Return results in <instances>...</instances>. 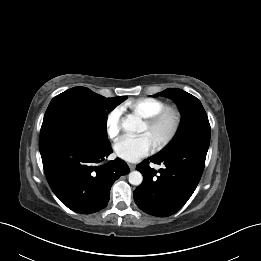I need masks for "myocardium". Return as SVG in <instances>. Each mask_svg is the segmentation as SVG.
<instances>
[{
    "instance_id": "myocardium-1",
    "label": "myocardium",
    "mask_w": 261,
    "mask_h": 261,
    "mask_svg": "<svg viewBox=\"0 0 261 261\" xmlns=\"http://www.w3.org/2000/svg\"><path fill=\"white\" fill-rule=\"evenodd\" d=\"M166 119L171 121L170 128L166 135L154 145L156 150L167 147L178 135L182 124L181 112L174 106H165L151 116L144 118V123L148 127H155Z\"/></svg>"
}]
</instances>
